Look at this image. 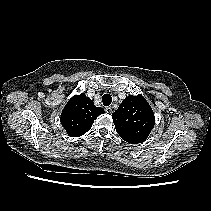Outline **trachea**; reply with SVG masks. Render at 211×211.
Listing matches in <instances>:
<instances>
[{"instance_id":"1","label":"trachea","mask_w":211,"mask_h":211,"mask_svg":"<svg viewBox=\"0 0 211 211\" xmlns=\"http://www.w3.org/2000/svg\"><path fill=\"white\" fill-rule=\"evenodd\" d=\"M102 102L104 106H109L112 103V97L109 94H104Z\"/></svg>"}]
</instances>
